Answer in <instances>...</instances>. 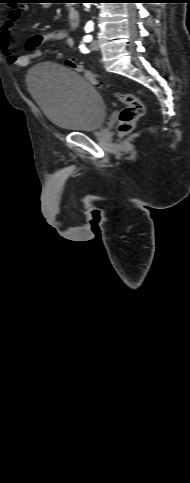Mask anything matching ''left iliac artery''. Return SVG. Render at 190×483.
I'll return each mask as SVG.
<instances>
[{
  "instance_id": "44dca946",
  "label": "left iliac artery",
  "mask_w": 190,
  "mask_h": 483,
  "mask_svg": "<svg viewBox=\"0 0 190 483\" xmlns=\"http://www.w3.org/2000/svg\"><path fill=\"white\" fill-rule=\"evenodd\" d=\"M91 40H92V36L91 35H86L83 38V42H90ZM79 48H80V51L82 53H88L89 52V50L85 47V45L83 43L80 44Z\"/></svg>"
}]
</instances>
